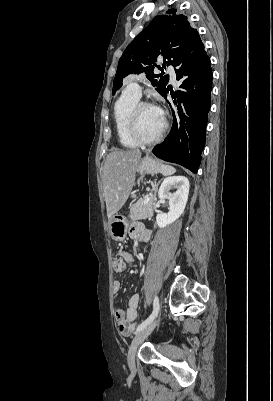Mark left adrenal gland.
Wrapping results in <instances>:
<instances>
[{"instance_id":"1","label":"left adrenal gland","mask_w":273,"mask_h":401,"mask_svg":"<svg viewBox=\"0 0 273 401\" xmlns=\"http://www.w3.org/2000/svg\"><path fill=\"white\" fill-rule=\"evenodd\" d=\"M162 180V178H161ZM161 180H158V182H155V186H154V196H156L157 192H158V186L161 182Z\"/></svg>"}]
</instances>
